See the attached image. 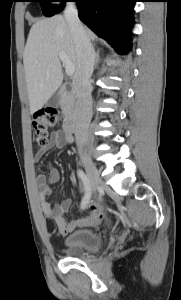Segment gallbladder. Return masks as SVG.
Returning a JSON list of instances; mask_svg holds the SVG:
<instances>
[{
    "label": "gallbladder",
    "instance_id": "1",
    "mask_svg": "<svg viewBox=\"0 0 181 300\" xmlns=\"http://www.w3.org/2000/svg\"><path fill=\"white\" fill-rule=\"evenodd\" d=\"M60 103V94L58 92L54 93L46 102V106L56 108Z\"/></svg>",
    "mask_w": 181,
    "mask_h": 300
}]
</instances>
